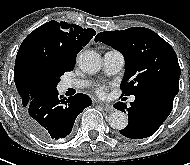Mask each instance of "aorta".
<instances>
[{
    "instance_id": "1",
    "label": "aorta",
    "mask_w": 190,
    "mask_h": 165,
    "mask_svg": "<svg viewBox=\"0 0 190 165\" xmlns=\"http://www.w3.org/2000/svg\"><path fill=\"white\" fill-rule=\"evenodd\" d=\"M78 64L84 72L94 74L101 68V57L95 51H84L78 57ZM108 122L113 129L122 130L128 124V117L124 112L116 110L110 114Z\"/></svg>"
}]
</instances>
